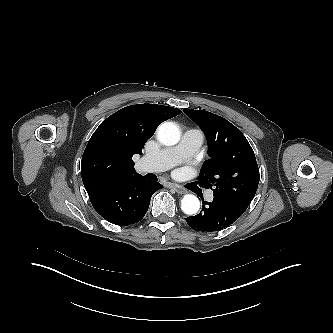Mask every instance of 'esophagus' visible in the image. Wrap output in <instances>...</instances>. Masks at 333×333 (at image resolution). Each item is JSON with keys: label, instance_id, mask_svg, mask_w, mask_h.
Returning a JSON list of instances; mask_svg holds the SVG:
<instances>
[{"label": "esophagus", "instance_id": "esophagus-1", "mask_svg": "<svg viewBox=\"0 0 333 333\" xmlns=\"http://www.w3.org/2000/svg\"><path fill=\"white\" fill-rule=\"evenodd\" d=\"M169 188L174 189L179 194H185L187 191L176 184H169Z\"/></svg>", "mask_w": 333, "mask_h": 333}]
</instances>
